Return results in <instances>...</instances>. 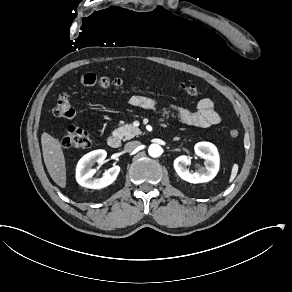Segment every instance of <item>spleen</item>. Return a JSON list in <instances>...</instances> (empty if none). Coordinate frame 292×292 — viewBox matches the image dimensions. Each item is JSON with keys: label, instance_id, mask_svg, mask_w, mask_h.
Segmentation results:
<instances>
[{"label": "spleen", "instance_id": "3e777b00", "mask_svg": "<svg viewBox=\"0 0 292 292\" xmlns=\"http://www.w3.org/2000/svg\"><path fill=\"white\" fill-rule=\"evenodd\" d=\"M238 170H239V165L237 163H234L231 167V171H230V178L228 183H232L234 181V179L236 178L237 174H238Z\"/></svg>", "mask_w": 292, "mask_h": 292}]
</instances>
